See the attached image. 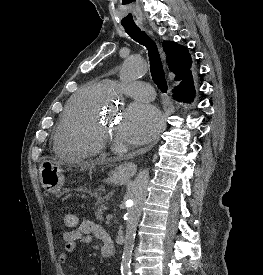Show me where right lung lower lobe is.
Wrapping results in <instances>:
<instances>
[{"mask_svg": "<svg viewBox=\"0 0 263 275\" xmlns=\"http://www.w3.org/2000/svg\"><path fill=\"white\" fill-rule=\"evenodd\" d=\"M194 85L193 84V78H192V74L191 71L189 73V76L187 77L186 82L183 85H179L177 87H175L172 92H173V98L177 99L178 101L184 100L186 102H188L187 98H188V94H187V86L188 85Z\"/></svg>", "mask_w": 263, "mask_h": 275, "instance_id": "right-lung-lower-lobe-1", "label": "right lung lower lobe"}]
</instances>
